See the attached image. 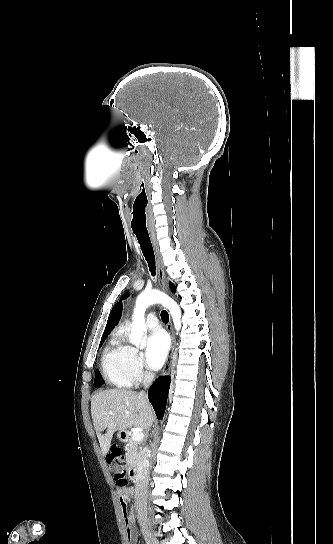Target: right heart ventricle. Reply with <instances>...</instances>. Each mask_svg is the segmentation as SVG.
I'll list each match as a JSON object with an SVG mask.
<instances>
[{
  "label": "right heart ventricle",
  "mask_w": 333,
  "mask_h": 544,
  "mask_svg": "<svg viewBox=\"0 0 333 544\" xmlns=\"http://www.w3.org/2000/svg\"><path fill=\"white\" fill-rule=\"evenodd\" d=\"M103 377L109 384L117 387H130L132 382L126 369L125 345L118 334L107 343L102 357Z\"/></svg>",
  "instance_id": "right-heart-ventricle-1"
}]
</instances>
